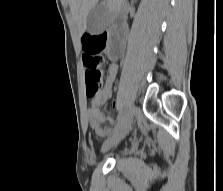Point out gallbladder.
Wrapping results in <instances>:
<instances>
[{
	"instance_id": "bac80fb5",
	"label": "gallbladder",
	"mask_w": 223,
	"mask_h": 191,
	"mask_svg": "<svg viewBox=\"0 0 223 191\" xmlns=\"http://www.w3.org/2000/svg\"><path fill=\"white\" fill-rule=\"evenodd\" d=\"M109 12L101 5H96L89 12L86 19V29L92 35L103 32L108 24Z\"/></svg>"
}]
</instances>
